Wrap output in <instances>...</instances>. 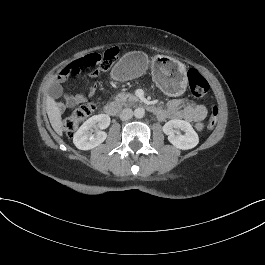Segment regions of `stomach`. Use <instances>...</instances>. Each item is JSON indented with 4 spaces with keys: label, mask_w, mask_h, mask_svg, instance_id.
Returning <instances> with one entry per match:
<instances>
[{
    "label": "stomach",
    "mask_w": 265,
    "mask_h": 265,
    "mask_svg": "<svg viewBox=\"0 0 265 265\" xmlns=\"http://www.w3.org/2000/svg\"><path fill=\"white\" fill-rule=\"evenodd\" d=\"M149 66L148 56L143 52H129L114 66L112 76L116 80H131L144 74ZM155 83L172 96L182 95L187 87L186 67L169 56L156 55L151 61Z\"/></svg>",
    "instance_id": "stomach-1"
}]
</instances>
